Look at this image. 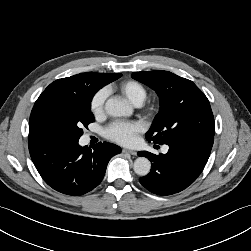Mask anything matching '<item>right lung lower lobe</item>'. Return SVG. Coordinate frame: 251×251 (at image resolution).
<instances>
[{"mask_svg":"<svg viewBox=\"0 0 251 251\" xmlns=\"http://www.w3.org/2000/svg\"><path fill=\"white\" fill-rule=\"evenodd\" d=\"M78 140L41 135L28 138L30 156L43 180L56 191L73 196L98 186L109 160L121 152L112 143L100 142L91 149L81 147Z\"/></svg>","mask_w":251,"mask_h":251,"instance_id":"1","label":"right lung lower lobe"}]
</instances>
